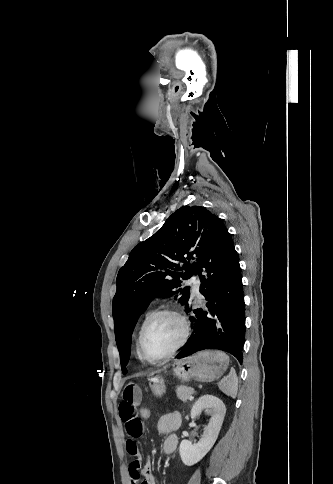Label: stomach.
I'll use <instances>...</instances> for the list:
<instances>
[{"label": "stomach", "mask_w": 333, "mask_h": 484, "mask_svg": "<svg viewBox=\"0 0 333 484\" xmlns=\"http://www.w3.org/2000/svg\"><path fill=\"white\" fill-rule=\"evenodd\" d=\"M228 364L229 358L225 353L207 350L176 360L173 364V373L182 383L191 380L210 382L220 378L227 370ZM149 382L155 395L161 396L165 392L164 373H150Z\"/></svg>", "instance_id": "1"}]
</instances>
